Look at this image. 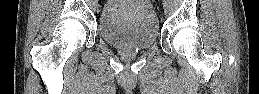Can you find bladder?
I'll return each mask as SVG.
<instances>
[{
    "label": "bladder",
    "instance_id": "31cf9c89",
    "mask_svg": "<svg viewBox=\"0 0 259 94\" xmlns=\"http://www.w3.org/2000/svg\"><path fill=\"white\" fill-rule=\"evenodd\" d=\"M98 31L115 47L146 49L158 38V19L149 1L112 0L100 14Z\"/></svg>",
    "mask_w": 259,
    "mask_h": 94
}]
</instances>
